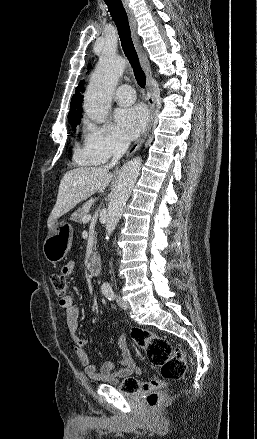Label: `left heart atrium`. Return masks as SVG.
<instances>
[{
	"instance_id": "1",
	"label": "left heart atrium",
	"mask_w": 257,
	"mask_h": 439,
	"mask_svg": "<svg viewBox=\"0 0 257 439\" xmlns=\"http://www.w3.org/2000/svg\"><path fill=\"white\" fill-rule=\"evenodd\" d=\"M115 118L124 135L133 138L146 126L148 113L143 105H135L118 109Z\"/></svg>"
}]
</instances>
